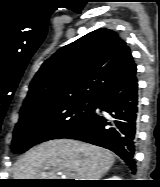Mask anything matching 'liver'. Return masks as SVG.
<instances>
[{"mask_svg":"<svg viewBox=\"0 0 160 187\" xmlns=\"http://www.w3.org/2000/svg\"><path fill=\"white\" fill-rule=\"evenodd\" d=\"M113 164L114 156L104 148L76 140H51L17 161L14 179H58V173H75L77 180H100Z\"/></svg>","mask_w":160,"mask_h":187,"instance_id":"liver-1","label":"liver"}]
</instances>
